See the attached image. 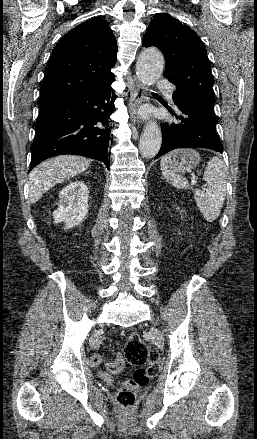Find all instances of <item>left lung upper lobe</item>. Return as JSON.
Listing matches in <instances>:
<instances>
[{"label": "left lung upper lobe", "instance_id": "left-lung-upper-lobe-1", "mask_svg": "<svg viewBox=\"0 0 257 439\" xmlns=\"http://www.w3.org/2000/svg\"><path fill=\"white\" fill-rule=\"evenodd\" d=\"M144 47L159 48L165 61L164 78L180 93L214 110V79L205 46L188 26L167 13H157L142 41Z\"/></svg>", "mask_w": 257, "mask_h": 439}]
</instances>
